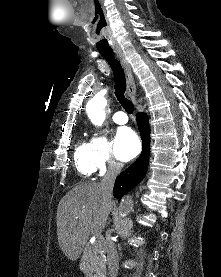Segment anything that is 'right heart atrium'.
Returning <instances> with one entry per match:
<instances>
[{
	"label": "right heart atrium",
	"instance_id": "right-heart-atrium-1",
	"mask_svg": "<svg viewBox=\"0 0 221 277\" xmlns=\"http://www.w3.org/2000/svg\"><path fill=\"white\" fill-rule=\"evenodd\" d=\"M91 158L95 171L103 174L119 169L120 163L115 159L109 139L96 133L90 140Z\"/></svg>",
	"mask_w": 221,
	"mask_h": 277
}]
</instances>
